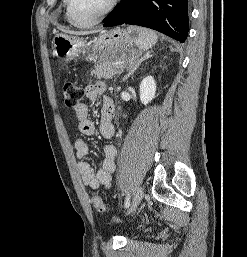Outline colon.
<instances>
[{
	"label": "colon",
	"mask_w": 247,
	"mask_h": 257,
	"mask_svg": "<svg viewBox=\"0 0 247 257\" xmlns=\"http://www.w3.org/2000/svg\"><path fill=\"white\" fill-rule=\"evenodd\" d=\"M64 103L68 107H74L79 104L83 97L82 89L72 81H65L62 84ZM93 208L102 213L105 211V204L101 196L94 194L91 199Z\"/></svg>",
	"instance_id": "obj_1"
}]
</instances>
